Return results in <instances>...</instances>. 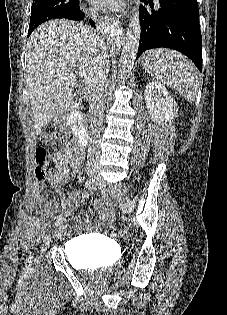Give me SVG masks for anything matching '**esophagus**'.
<instances>
[{
	"label": "esophagus",
	"instance_id": "obj_1",
	"mask_svg": "<svg viewBox=\"0 0 227 315\" xmlns=\"http://www.w3.org/2000/svg\"><path fill=\"white\" fill-rule=\"evenodd\" d=\"M111 21H112L113 25H115L116 27L120 26V21L118 19L112 18Z\"/></svg>",
	"mask_w": 227,
	"mask_h": 315
}]
</instances>
